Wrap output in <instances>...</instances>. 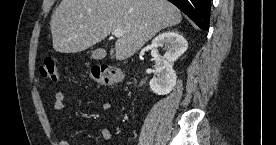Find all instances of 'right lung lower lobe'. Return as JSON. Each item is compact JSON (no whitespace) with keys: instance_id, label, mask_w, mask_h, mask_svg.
<instances>
[{"instance_id":"1","label":"right lung lower lobe","mask_w":276,"mask_h":145,"mask_svg":"<svg viewBox=\"0 0 276 145\" xmlns=\"http://www.w3.org/2000/svg\"><path fill=\"white\" fill-rule=\"evenodd\" d=\"M201 29L209 28L210 0H169Z\"/></svg>"}]
</instances>
